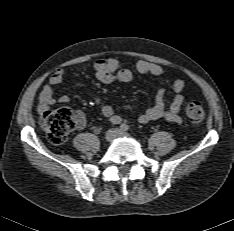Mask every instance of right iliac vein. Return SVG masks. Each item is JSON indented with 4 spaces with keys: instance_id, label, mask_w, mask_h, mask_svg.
I'll use <instances>...</instances> for the list:
<instances>
[{
    "instance_id": "obj_1",
    "label": "right iliac vein",
    "mask_w": 234,
    "mask_h": 231,
    "mask_svg": "<svg viewBox=\"0 0 234 231\" xmlns=\"http://www.w3.org/2000/svg\"><path fill=\"white\" fill-rule=\"evenodd\" d=\"M117 134H118L117 129H110L105 134V140L107 142H112L116 138Z\"/></svg>"
}]
</instances>
